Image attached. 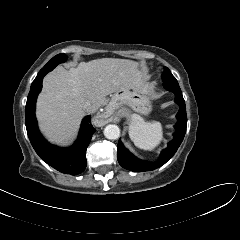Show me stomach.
I'll return each mask as SVG.
<instances>
[{
    "mask_svg": "<svg viewBox=\"0 0 240 240\" xmlns=\"http://www.w3.org/2000/svg\"><path fill=\"white\" fill-rule=\"evenodd\" d=\"M146 91V88H122L112 95L109 107L117 110L129 106L136 112L147 115L151 111V105Z\"/></svg>",
    "mask_w": 240,
    "mask_h": 240,
    "instance_id": "0dacf381",
    "label": "stomach"
}]
</instances>
